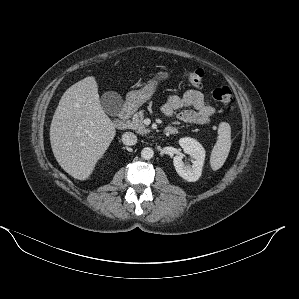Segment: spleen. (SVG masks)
Returning <instances> with one entry per match:
<instances>
[{"mask_svg": "<svg viewBox=\"0 0 299 299\" xmlns=\"http://www.w3.org/2000/svg\"><path fill=\"white\" fill-rule=\"evenodd\" d=\"M218 140L214 145L211 156V168L216 171L226 161L231 147V127L227 122H221L218 126Z\"/></svg>", "mask_w": 299, "mask_h": 299, "instance_id": "spleen-1", "label": "spleen"}]
</instances>
